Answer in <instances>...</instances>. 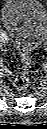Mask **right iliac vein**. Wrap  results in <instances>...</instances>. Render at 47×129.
<instances>
[{
  "label": "right iliac vein",
  "instance_id": "1",
  "mask_svg": "<svg viewBox=\"0 0 47 129\" xmlns=\"http://www.w3.org/2000/svg\"><path fill=\"white\" fill-rule=\"evenodd\" d=\"M2 42H3V43H6V38H5V39L3 38V39H2Z\"/></svg>",
  "mask_w": 47,
  "mask_h": 129
}]
</instances>
